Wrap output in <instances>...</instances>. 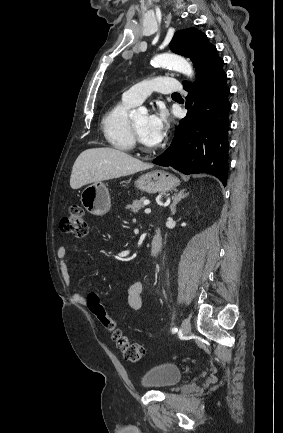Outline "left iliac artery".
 <instances>
[{"label":"left iliac artery","mask_w":283,"mask_h":433,"mask_svg":"<svg viewBox=\"0 0 283 433\" xmlns=\"http://www.w3.org/2000/svg\"><path fill=\"white\" fill-rule=\"evenodd\" d=\"M177 331H178L177 328H173V329H172V332H177Z\"/></svg>","instance_id":"1"}]
</instances>
